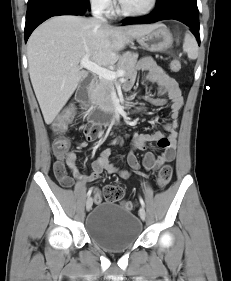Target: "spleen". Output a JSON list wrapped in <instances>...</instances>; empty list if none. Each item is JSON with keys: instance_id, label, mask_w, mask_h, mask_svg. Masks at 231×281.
Wrapping results in <instances>:
<instances>
[{"instance_id": "1", "label": "spleen", "mask_w": 231, "mask_h": 281, "mask_svg": "<svg viewBox=\"0 0 231 281\" xmlns=\"http://www.w3.org/2000/svg\"><path fill=\"white\" fill-rule=\"evenodd\" d=\"M183 50L187 53L189 59H196L198 57V45L195 38L187 33L184 38Z\"/></svg>"}]
</instances>
